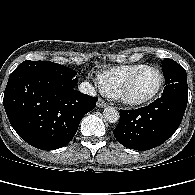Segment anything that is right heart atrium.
<instances>
[{
	"label": "right heart atrium",
	"instance_id": "right-heart-atrium-1",
	"mask_svg": "<svg viewBox=\"0 0 195 195\" xmlns=\"http://www.w3.org/2000/svg\"><path fill=\"white\" fill-rule=\"evenodd\" d=\"M99 85H100V87L102 88V86H101L100 82H99ZM102 89H103V88H102Z\"/></svg>",
	"mask_w": 195,
	"mask_h": 195
}]
</instances>
